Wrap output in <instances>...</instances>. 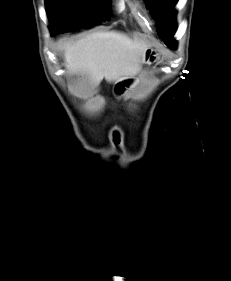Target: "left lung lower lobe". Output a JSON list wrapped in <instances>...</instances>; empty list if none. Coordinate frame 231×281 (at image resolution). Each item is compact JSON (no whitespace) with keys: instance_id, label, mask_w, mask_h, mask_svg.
Segmentation results:
<instances>
[{"instance_id":"0a47b994","label":"left lung lower lobe","mask_w":231,"mask_h":281,"mask_svg":"<svg viewBox=\"0 0 231 281\" xmlns=\"http://www.w3.org/2000/svg\"><path fill=\"white\" fill-rule=\"evenodd\" d=\"M174 33H175V31L173 32V34H174ZM173 34H172V35H173ZM175 48H176V42H175Z\"/></svg>"}]
</instances>
